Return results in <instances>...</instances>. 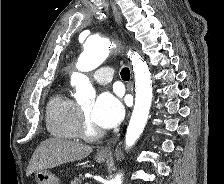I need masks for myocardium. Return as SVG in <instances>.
<instances>
[{"instance_id":"1","label":"myocardium","mask_w":224,"mask_h":184,"mask_svg":"<svg viewBox=\"0 0 224 184\" xmlns=\"http://www.w3.org/2000/svg\"><path fill=\"white\" fill-rule=\"evenodd\" d=\"M102 132L90 121L84 110H80L78 136L86 140H95L101 137Z\"/></svg>"}]
</instances>
